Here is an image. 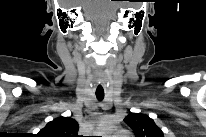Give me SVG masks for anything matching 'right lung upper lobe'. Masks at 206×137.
<instances>
[{"label": "right lung upper lobe", "mask_w": 206, "mask_h": 137, "mask_svg": "<svg viewBox=\"0 0 206 137\" xmlns=\"http://www.w3.org/2000/svg\"><path fill=\"white\" fill-rule=\"evenodd\" d=\"M79 125L75 119L70 117H59L47 123L39 131L41 137H77Z\"/></svg>", "instance_id": "obj_1"}]
</instances>
